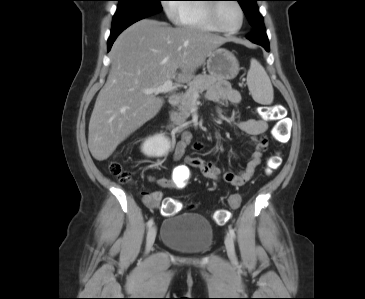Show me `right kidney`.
<instances>
[{
    "label": "right kidney",
    "mask_w": 365,
    "mask_h": 299,
    "mask_svg": "<svg viewBox=\"0 0 365 299\" xmlns=\"http://www.w3.org/2000/svg\"><path fill=\"white\" fill-rule=\"evenodd\" d=\"M171 148V142L164 134L148 138L142 145V152L149 157L165 156Z\"/></svg>",
    "instance_id": "right-kidney-1"
}]
</instances>
